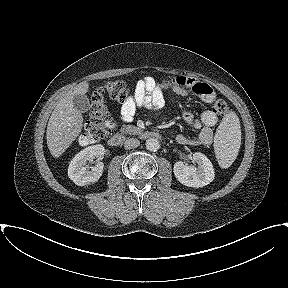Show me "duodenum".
Returning <instances> with one entry per match:
<instances>
[{"mask_svg": "<svg viewBox=\"0 0 288 288\" xmlns=\"http://www.w3.org/2000/svg\"><path fill=\"white\" fill-rule=\"evenodd\" d=\"M138 136L143 139H159L161 135L156 131L151 130H140L137 132ZM125 140L124 134H115L110 137L108 140V144L112 147H118L122 145Z\"/></svg>", "mask_w": 288, "mask_h": 288, "instance_id": "410a0bca", "label": "duodenum"}]
</instances>
